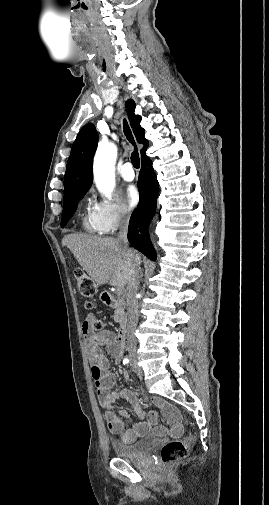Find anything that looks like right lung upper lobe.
Instances as JSON below:
<instances>
[{"label": "right lung upper lobe", "mask_w": 269, "mask_h": 505, "mask_svg": "<svg viewBox=\"0 0 269 505\" xmlns=\"http://www.w3.org/2000/svg\"><path fill=\"white\" fill-rule=\"evenodd\" d=\"M126 111L137 141L144 145L141 149V159L145 158V151L149 142L145 139V130L140 126L141 116L135 115V102L126 101ZM98 133L92 124L85 125L77 135L68 159L64 177V200L87 191L92 184V159L97 147Z\"/></svg>", "instance_id": "cb5924a9"}]
</instances>
